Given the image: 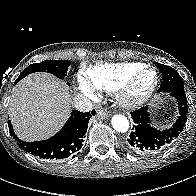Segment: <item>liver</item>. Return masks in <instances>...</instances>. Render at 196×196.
<instances>
[{"mask_svg": "<svg viewBox=\"0 0 196 196\" xmlns=\"http://www.w3.org/2000/svg\"><path fill=\"white\" fill-rule=\"evenodd\" d=\"M69 88L48 73H33L13 89L9 116L17 135L25 141L55 134L70 114Z\"/></svg>", "mask_w": 196, "mask_h": 196, "instance_id": "obj_1", "label": "liver"}]
</instances>
